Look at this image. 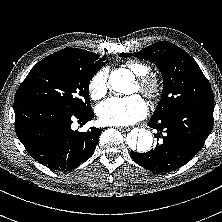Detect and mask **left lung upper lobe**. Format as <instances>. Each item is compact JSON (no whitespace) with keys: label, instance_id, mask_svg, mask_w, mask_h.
Segmentation results:
<instances>
[{"label":"left lung upper lobe","instance_id":"5c2ea615","mask_svg":"<svg viewBox=\"0 0 222 222\" xmlns=\"http://www.w3.org/2000/svg\"><path fill=\"white\" fill-rule=\"evenodd\" d=\"M134 55L155 62L163 76L162 97L152 117L159 118L190 105L214 107L208 80L196 61L178 46L159 41ZM120 56L130 57L132 54Z\"/></svg>","mask_w":222,"mask_h":222}]
</instances>
